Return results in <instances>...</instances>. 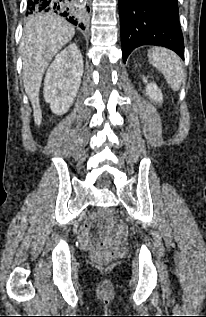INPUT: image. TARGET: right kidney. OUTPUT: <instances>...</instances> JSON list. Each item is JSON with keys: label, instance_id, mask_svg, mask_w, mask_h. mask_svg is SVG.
Listing matches in <instances>:
<instances>
[{"label": "right kidney", "instance_id": "ca27d5eb", "mask_svg": "<svg viewBox=\"0 0 206 317\" xmlns=\"http://www.w3.org/2000/svg\"><path fill=\"white\" fill-rule=\"evenodd\" d=\"M83 75V58L76 44H70L50 65L44 81V98L51 110L66 113L78 93Z\"/></svg>", "mask_w": 206, "mask_h": 317}]
</instances>
